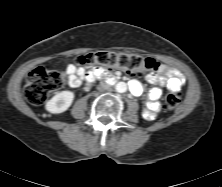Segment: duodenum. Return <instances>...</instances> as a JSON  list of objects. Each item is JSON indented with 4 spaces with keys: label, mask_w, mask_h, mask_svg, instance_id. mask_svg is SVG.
<instances>
[{
    "label": "duodenum",
    "mask_w": 222,
    "mask_h": 187,
    "mask_svg": "<svg viewBox=\"0 0 222 187\" xmlns=\"http://www.w3.org/2000/svg\"><path fill=\"white\" fill-rule=\"evenodd\" d=\"M105 75V79L109 82V83H114L118 80V77L115 75H111V74H107L106 72H94L93 74L89 75V80H94L102 75Z\"/></svg>",
    "instance_id": "410a0bca"
}]
</instances>
